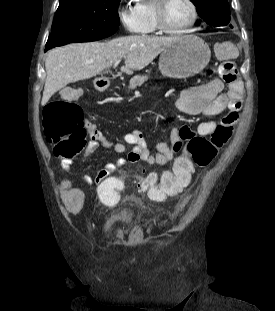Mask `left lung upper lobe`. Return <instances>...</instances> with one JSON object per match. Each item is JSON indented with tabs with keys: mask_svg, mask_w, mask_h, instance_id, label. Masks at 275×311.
<instances>
[{
	"mask_svg": "<svg viewBox=\"0 0 275 311\" xmlns=\"http://www.w3.org/2000/svg\"><path fill=\"white\" fill-rule=\"evenodd\" d=\"M198 15L210 26H224L230 21V8L227 0H191ZM232 28V25H230Z\"/></svg>",
	"mask_w": 275,
	"mask_h": 311,
	"instance_id": "obj_1",
	"label": "left lung upper lobe"
}]
</instances>
